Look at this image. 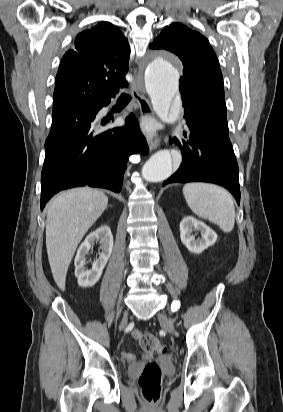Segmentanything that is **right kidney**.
Segmentation results:
<instances>
[{
    "label": "right kidney",
    "mask_w": 283,
    "mask_h": 412,
    "mask_svg": "<svg viewBox=\"0 0 283 412\" xmlns=\"http://www.w3.org/2000/svg\"><path fill=\"white\" fill-rule=\"evenodd\" d=\"M100 242L101 253L98 259L93 262L90 270L85 268L86 255L95 242ZM113 249V236L108 226H101L96 231L90 233L80 245L75 260V275L78 284L82 287H91L100 279L103 269L106 266Z\"/></svg>",
    "instance_id": "1"
}]
</instances>
